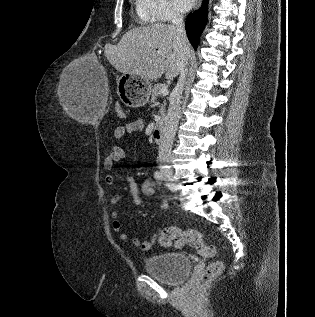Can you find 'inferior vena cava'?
Returning <instances> with one entry per match:
<instances>
[{"mask_svg": "<svg viewBox=\"0 0 315 317\" xmlns=\"http://www.w3.org/2000/svg\"><path fill=\"white\" fill-rule=\"evenodd\" d=\"M172 25L176 28L177 35L180 39L187 43V36L185 32V26L183 22V16L180 13L172 14ZM188 59L183 65L179 81L173 91L170 99L168 112L164 120V128L162 132V138L159 143V161L162 164V171L169 170L166 166L171 160V150L174 137L177 131L178 122L180 118V98L184 89V84L186 81L188 69H187Z\"/></svg>", "mask_w": 315, "mask_h": 317, "instance_id": "1", "label": "inferior vena cava"}]
</instances>
